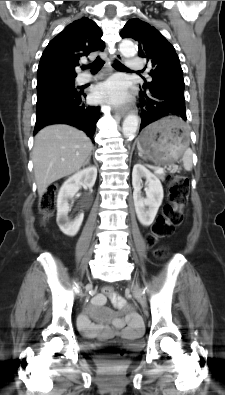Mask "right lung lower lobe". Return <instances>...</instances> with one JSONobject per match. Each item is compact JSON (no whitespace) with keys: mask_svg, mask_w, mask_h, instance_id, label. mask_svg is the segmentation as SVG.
<instances>
[{"mask_svg":"<svg viewBox=\"0 0 225 395\" xmlns=\"http://www.w3.org/2000/svg\"><path fill=\"white\" fill-rule=\"evenodd\" d=\"M83 91H58L37 102L34 135L43 127L64 123L75 126L93 140L100 108L85 103Z\"/></svg>","mask_w":225,"mask_h":395,"instance_id":"obj_1","label":"right lung lower lobe"}]
</instances>
